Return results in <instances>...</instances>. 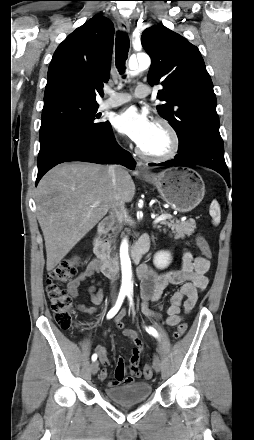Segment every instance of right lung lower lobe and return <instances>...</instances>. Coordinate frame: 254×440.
Returning <instances> with one entry per match:
<instances>
[{
  "label": "right lung lower lobe",
  "instance_id": "obj_1",
  "mask_svg": "<svg viewBox=\"0 0 254 440\" xmlns=\"http://www.w3.org/2000/svg\"><path fill=\"white\" fill-rule=\"evenodd\" d=\"M68 161H85L98 164L124 165L134 169L136 162L131 154L120 148L113 136L111 125L96 137H87L78 142L62 143L54 147L38 162L36 186L42 176L57 164Z\"/></svg>",
  "mask_w": 254,
  "mask_h": 440
}]
</instances>
